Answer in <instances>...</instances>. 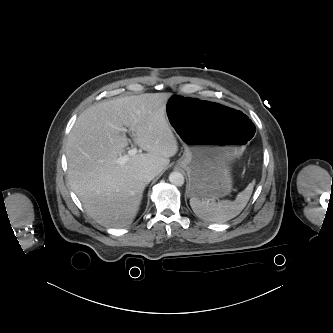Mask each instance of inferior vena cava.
<instances>
[{"label":"inferior vena cava","mask_w":333,"mask_h":333,"mask_svg":"<svg viewBox=\"0 0 333 333\" xmlns=\"http://www.w3.org/2000/svg\"><path fill=\"white\" fill-rule=\"evenodd\" d=\"M158 171L153 168H142L139 170L137 176L138 179L142 182H150L156 175Z\"/></svg>","instance_id":"602c4592"}]
</instances>
